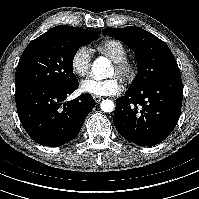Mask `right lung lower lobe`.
<instances>
[{
  "mask_svg": "<svg viewBox=\"0 0 199 199\" xmlns=\"http://www.w3.org/2000/svg\"><path fill=\"white\" fill-rule=\"evenodd\" d=\"M78 87L24 85L16 88L15 101L19 119L28 135L38 144L56 147L68 143L95 106L90 94L63 103Z\"/></svg>",
  "mask_w": 199,
  "mask_h": 199,
  "instance_id": "98d812e1",
  "label": "right lung lower lobe"
}]
</instances>
